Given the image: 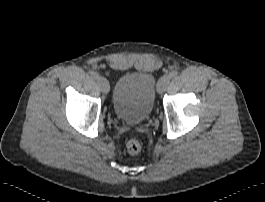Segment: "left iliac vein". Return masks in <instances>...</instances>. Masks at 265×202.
I'll return each instance as SVG.
<instances>
[{"mask_svg":"<svg viewBox=\"0 0 265 202\" xmlns=\"http://www.w3.org/2000/svg\"><path fill=\"white\" fill-rule=\"evenodd\" d=\"M170 83V76L165 75L158 81L157 91L158 93H163L167 90Z\"/></svg>","mask_w":265,"mask_h":202,"instance_id":"1","label":"left iliac vein"}]
</instances>
